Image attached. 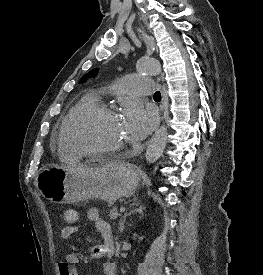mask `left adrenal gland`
<instances>
[{"instance_id": "1", "label": "left adrenal gland", "mask_w": 263, "mask_h": 275, "mask_svg": "<svg viewBox=\"0 0 263 275\" xmlns=\"http://www.w3.org/2000/svg\"><path fill=\"white\" fill-rule=\"evenodd\" d=\"M131 206L135 207V209L131 210L128 214H125L123 216V219L120 222V227H119L120 231H123V229H124V224H125L127 216H130L131 214H134V213H143L144 207L143 206H139L138 203L133 202L131 204Z\"/></svg>"}]
</instances>
